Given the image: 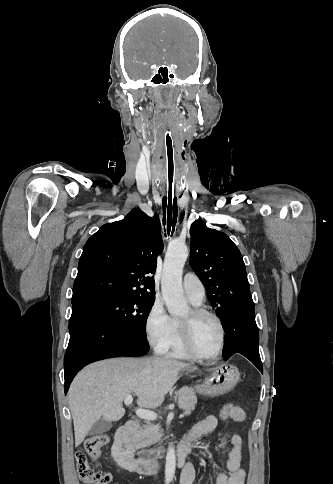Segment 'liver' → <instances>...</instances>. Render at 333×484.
Returning <instances> with one entry per match:
<instances>
[{"label": "liver", "mask_w": 333, "mask_h": 484, "mask_svg": "<svg viewBox=\"0 0 333 484\" xmlns=\"http://www.w3.org/2000/svg\"><path fill=\"white\" fill-rule=\"evenodd\" d=\"M196 370L189 363L160 357L114 358L90 364L74 378L68 391L75 446L84 441L101 417L108 421L121 419L125 414L122 402L131 393L137 396L138 406L155 409L180 373Z\"/></svg>", "instance_id": "1"}]
</instances>
